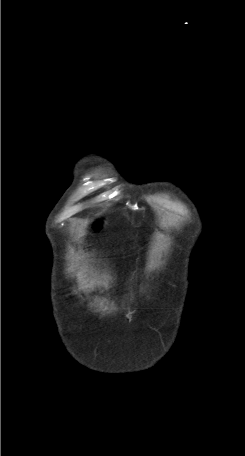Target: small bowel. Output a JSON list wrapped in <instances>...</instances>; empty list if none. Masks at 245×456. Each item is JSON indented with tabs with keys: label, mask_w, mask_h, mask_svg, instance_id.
<instances>
[{
	"label": "small bowel",
	"mask_w": 245,
	"mask_h": 456,
	"mask_svg": "<svg viewBox=\"0 0 245 456\" xmlns=\"http://www.w3.org/2000/svg\"><path fill=\"white\" fill-rule=\"evenodd\" d=\"M102 227V222L100 219H95L94 221L91 222L90 224V231L95 233L99 231Z\"/></svg>",
	"instance_id": "c3829d8e"
}]
</instances>
